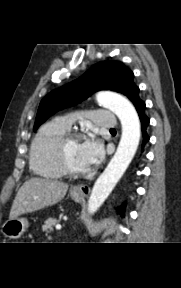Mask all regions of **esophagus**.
<instances>
[{"mask_svg":"<svg viewBox=\"0 0 181 288\" xmlns=\"http://www.w3.org/2000/svg\"><path fill=\"white\" fill-rule=\"evenodd\" d=\"M72 192L80 196H87L90 193V187L87 184H80L73 187Z\"/></svg>","mask_w":181,"mask_h":288,"instance_id":"esophagus-1","label":"esophagus"}]
</instances>
